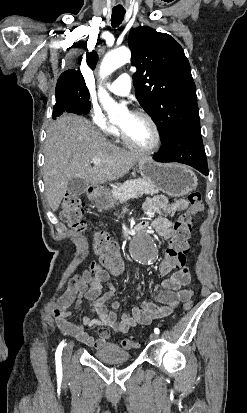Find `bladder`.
<instances>
[{
    "label": "bladder",
    "instance_id": "31cf9c89",
    "mask_svg": "<svg viewBox=\"0 0 247 413\" xmlns=\"http://www.w3.org/2000/svg\"><path fill=\"white\" fill-rule=\"evenodd\" d=\"M94 357L103 362H127L132 360V354L126 353L121 346L114 343H107L103 349L94 352Z\"/></svg>",
    "mask_w": 247,
    "mask_h": 413
}]
</instances>
